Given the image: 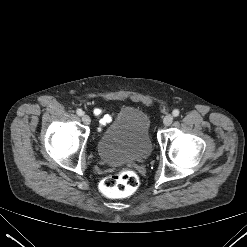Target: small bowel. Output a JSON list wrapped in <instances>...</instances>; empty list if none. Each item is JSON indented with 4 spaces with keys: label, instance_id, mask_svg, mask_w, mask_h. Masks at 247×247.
Returning <instances> with one entry per match:
<instances>
[{
    "label": "small bowel",
    "instance_id": "small-bowel-1",
    "mask_svg": "<svg viewBox=\"0 0 247 247\" xmlns=\"http://www.w3.org/2000/svg\"><path fill=\"white\" fill-rule=\"evenodd\" d=\"M94 114L100 117L102 125L108 124L112 120V115L104 113L102 109H95Z\"/></svg>",
    "mask_w": 247,
    "mask_h": 247
}]
</instances>
